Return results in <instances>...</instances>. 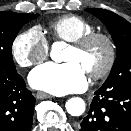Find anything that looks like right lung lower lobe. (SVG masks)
<instances>
[{
  "instance_id": "right-lung-lower-lobe-1",
  "label": "right lung lower lobe",
  "mask_w": 131,
  "mask_h": 131,
  "mask_svg": "<svg viewBox=\"0 0 131 131\" xmlns=\"http://www.w3.org/2000/svg\"><path fill=\"white\" fill-rule=\"evenodd\" d=\"M35 98L15 71L0 70V131H30Z\"/></svg>"
}]
</instances>
